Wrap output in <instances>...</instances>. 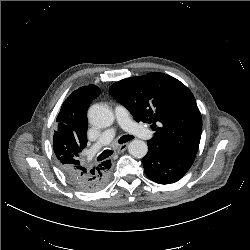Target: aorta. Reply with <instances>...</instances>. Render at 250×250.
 I'll return each instance as SVG.
<instances>
[{"mask_svg": "<svg viewBox=\"0 0 250 250\" xmlns=\"http://www.w3.org/2000/svg\"><path fill=\"white\" fill-rule=\"evenodd\" d=\"M89 122L97 128H108L114 123L113 112L105 105L95 104L92 105L88 111ZM130 155L135 158H143L148 152L146 142L142 140H133L128 146Z\"/></svg>", "mask_w": 250, "mask_h": 250, "instance_id": "obj_1", "label": "aorta"}]
</instances>
